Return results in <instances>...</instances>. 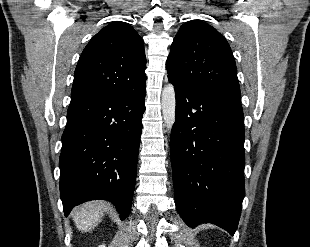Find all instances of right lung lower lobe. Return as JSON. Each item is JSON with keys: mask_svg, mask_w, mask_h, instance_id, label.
Here are the masks:
<instances>
[{"mask_svg": "<svg viewBox=\"0 0 310 247\" xmlns=\"http://www.w3.org/2000/svg\"><path fill=\"white\" fill-rule=\"evenodd\" d=\"M145 87L70 103L59 160L65 216L74 206L96 199L112 202L121 220L129 215Z\"/></svg>", "mask_w": 310, "mask_h": 247, "instance_id": "obj_1", "label": "right lung lower lobe"}]
</instances>
